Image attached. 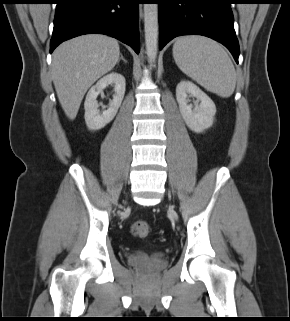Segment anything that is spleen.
Masks as SVG:
<instances>
[{"label": "spleen", "mask_w": 290, "mask_h": 321, "mask_svg": "<svg viewBox=\"0 0 290 321\" xmlns=\"http://www.w3.org/2000/svg\"><path fill=\"white\" fill-rule=\"evenodd\" d=\"M177 66L208 91L229 97L236 86L234 65L217 42L201 36L177 39L173 45Z\"/></svg>", "instance_id": "3e777b00"}]
</instances>
